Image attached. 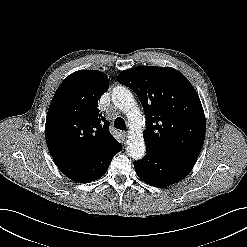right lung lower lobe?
Segmentation results:
<instances>
[{
  "label": "right lung lower lobe",
  "mask_w": 247,
  "mask_h": 247,
  "mask_svg": "<svg viewBox=\"0 0 247 247\" xmlns=\"http://www.w3.org/2000/svg\"><path fill=\"white\" fill-rule=\"evenodd\" d=\"M122 149L118 143L104 154L88 162H70L54 158V162L63 174L76 182H91L103 176L116 153Z\"/></svg>",
  "instance_id": "obj_1"
}]
</instances>
